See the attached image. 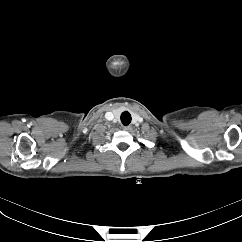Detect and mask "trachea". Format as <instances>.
<instances>
[{
    "label": "trachea",
    "mask_w": 242,
    "mask_h": 242,
    "mask_svg": "<svg viewBox=\"0 0 242 242\" xmlns=\"http://www.w3.org/2000/svg\"><path fill=\"white\" fill-rule=\"evenodd\" d=\"M121 122L123 125L127 126L131 122V115L129 112L125 111L121 114Z\"/></svg>",
    "instance_id": "1"
}]
</instances>
